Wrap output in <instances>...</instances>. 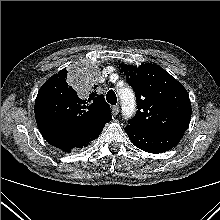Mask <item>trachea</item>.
<instances>
[{
  "instance_id": "trachea-1",
  "label": "trachea",
  "mask_w": 220,
  "mask_h": 220,
  "mask_svg": "<svg viewBox=\"0 0 220 220\" xmlns=\"http://www.w3.org/2000/svg\"><path fill=\"white\" fill-rule=\"evenodd\" d=\"M106 100L108 103H110L111 105H116L117 103V97H116V94L113 90H109L107 92V95H106Z\"/></svg>"
}]
</instances>
